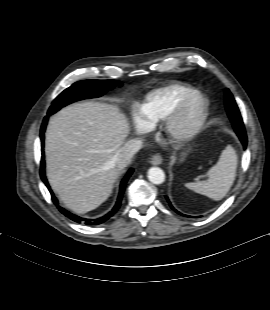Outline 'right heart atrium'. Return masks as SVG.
<instances>
[{
    "mask_svg": "<svg viewBox=\"0 0 270 310\" xmlns=\"http://www.w3.org/2000/svg\"><path fill=\"white\" fill-rule=\"evenodd\" d=\"M133 119L136 125V130L138 132H144L147 130V127L141 122L139 115H137L136 113H134L133 115Z\"/></svg>",
    "mask_w": 270,
    "mask_h": 310,
    "instance_id": "right-heart-atrium-1",
    "label": "right heart atrium"
}]
</instances>
